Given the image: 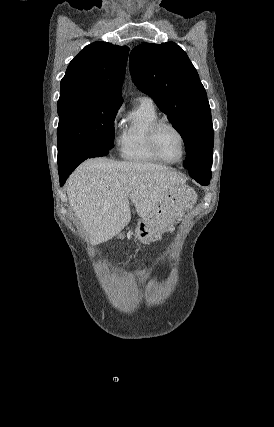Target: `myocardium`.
Instances as JSON below:
<instances>
[{
  "label": "myocardium",
  "instance_id": "f54148a6",
  "mask_svg": "<svg viewBox=\"0 0 274 427\" xmlns=\"http://www.w3.org/2000/svg\"><path fill=\"white\" fill-rule=\"evenodd\" d=\"M164 127H168V128L173 129L179 135V137L181 139L182 155H181L180 159L177 161H170V160L166 159L161 154V152L158 148V144H157L158 132L160 129H162ZM148 144H149L151 151L154 153V155L158 159H160L163 163H166V164H171V165L180 164L185 159L186 154H187V142H186V138H185L183 132L175 124L168 122V121H157L151 127V129L149 131V135H148Z\"/></svg>",
  "mask_w": 274,
  "mask_h": 427
}]
</instances>
